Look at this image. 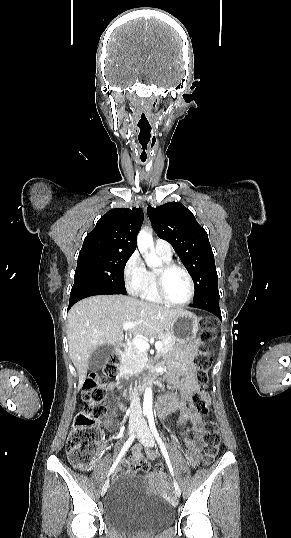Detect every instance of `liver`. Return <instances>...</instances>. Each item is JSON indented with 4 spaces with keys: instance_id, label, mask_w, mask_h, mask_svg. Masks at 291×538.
<instances>
[{
    "instance_id": "6515ba94",
    "label": "liver",
    "mask_w": 291,
    "mask_h": 538,
    "mask_svg": "<svg viewBox=\"0 0 291 538\" xmlns=\"http://www.w3.org/2000/svg\"><path fill=\"white\" fill-rule=\"evenodd\" d=\"M183 312L124 295L93 296L76 303L68 313L67 339L78 372V390L86 379L90 354L102 345H121L125 323L136 324L130 334L149 337L169 328Z\"/></svg>"
}]
</instances>
